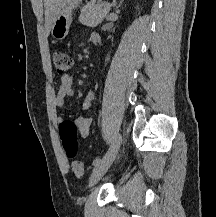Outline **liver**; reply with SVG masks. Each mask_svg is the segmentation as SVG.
Returning <instances> with one entry per match:
<instances>
[{"label":"liver","instance_id":"6515ba94","mask_svg":"<svg viewBox=\"0 0 216 217\" xmlns=\"http://www.w3.org/2000/svg\"><path fill=\"white\" fill-rule=\"evenodd\" d=\"M45 12V28L50 32L52 24L66 0H43Z\"/></svg>","mask_w":216,"mask_h":217}]
</instances>
